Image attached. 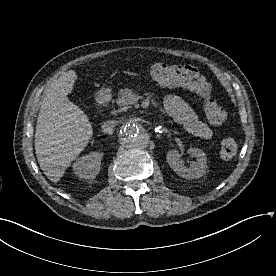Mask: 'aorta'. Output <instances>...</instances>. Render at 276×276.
Wrapping results in <instances>:
<instances>
[{"instance_id": "obj_1", "label": "aorta", "mask_w": 276, "mask_h": 276, "mask_svg": "<svg viewBox=\"0 0 276 276\" xmlns=\"http://www.w3.org/2000/svg\"><path fill=\"white\" fill-rule=\"evenodd\" d=\"M119 136L127 147L133 149H144L149 143V136L134 122L122 125Z\"/></svg>"}]
</instances>
